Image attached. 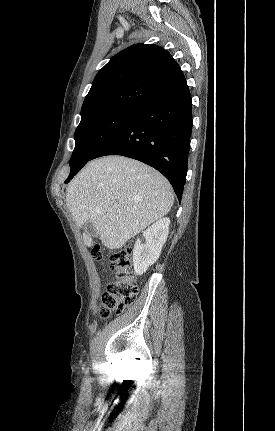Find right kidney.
Returning <instances> with one entry per match:
<instances>
[{
	"label": "right kidney",
	"mask_w": 275,
	"mask_h": 431,
	"mask_svg": "<svg viewBox=\"0 0 275 431\" xmlns=\"http://www.w3.org/2000/svg\"><path fill=\"white\" fill-rule=\"evenodd\" d=\"M169 218H162L143 232L145 242L137 239L133 249V266L136 275H142L160 256L169 233Z\"/></svg>",
	"instance_id": "right-kidney-1"
}]
</instances>
